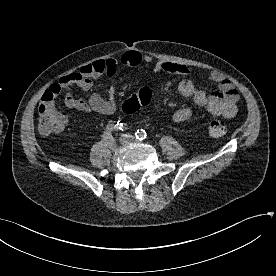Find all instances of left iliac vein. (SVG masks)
I'll return each instance as SVG.
<instances>
[{
	"instance_id": "obj_1",
	"label": "left iliac vein",
	"mask_w": 276,
	"mask_h": 276,
	"mask_svg": "<svg viewBox=\"0 0 276 276\" xmlns=\"http://www.w3.org/2000/svg\"><path fill=\"white\" fill-rule=\"evenodd\" d=\"M120 141L122 143H135L138 140L132 135H122Z\"/></svg>"
}]
</instances>
